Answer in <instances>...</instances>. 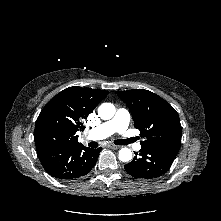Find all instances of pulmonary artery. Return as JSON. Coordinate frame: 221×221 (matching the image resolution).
Instances as JSON below:
<instances>
[{"instance_id":"pulmonary-artery-1","label":"pulmonary artery","mask_w":221,"mask_h":221,"mask_svg":"<svg viewBox=\"0 0 221 221\" xmlns=\"http://www.w3.org/2000/svg\"><path fill=\"white\" fill-rule=\"evenodd\" d=\"M129 121L130 113L126 109H119L112 119L90 129L86 135L90 140L105 139L114 133L125 132L129 125ZM134 148L140 150L141 145L135 144Z\"/></svg>"}]
</instances>
